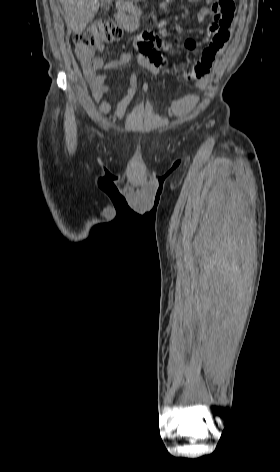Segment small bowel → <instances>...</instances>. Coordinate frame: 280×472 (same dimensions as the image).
<instances>
[{
    "mask_svg": "<svg viewBox=\"0 0 280 472\" xmlns=\"http://www.w3.org/2000/svg\"><path fill=\"white\" fill-rule=\"evenodd\" d=\"M196 2L198 0H189ZM213 0H206L211 3ZM208 10L200 8L197 11V19L200 23L207 20ZM231 23L225 26H216L213 22L209 24L206 34L200 41L187 39L183 44L184 52L188 55L199 53L200 57L195 62L191 70L188 72L181 70L184 76L194 80L195 87L199 90H205L209 84V70L215 59L230 37ZM164 31L160 33L146 30L142 32L136 42L138 54L133 55L131 52L121 54L113 60H106L104 57L94 55V50L90 47L77 45L75 48L76 55L81 62L84 77L88 83L93 98L99 103L102 113L111 114V105L107 94L109 91L106 85L107 76L99 74L101 70L117 69L127 65L136 59L138 64L154 75H158L164 65V57L161 54L162 48L168 45L162 40ZM103 50V46L98 47ZM138 83V75L132 73L129 77L128 87L125 96L118 103L113 115L116 118L124 116L126 108L134 96ZM199 96L195 94L186 95L176 99L171 104V113L175 117H182L190 112L199 102Z\"/></svg>",
    "mask_w": 280,
    "mask_h": 472,
    "instance_id": "c3829d8e",
    "label": "small bowel"
}]
</instances>
